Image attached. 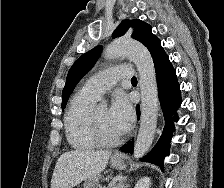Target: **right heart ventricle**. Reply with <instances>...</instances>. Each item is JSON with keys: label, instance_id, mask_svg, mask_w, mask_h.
<instances>
[{"label": "right heart ventricle", "instance_id": "obj_1", "mask_svg": "<svg viewBox=\"0 0 224 188\" xmlns=\"http://www.w3.org/2000/svg\"><path fill=\"white\" fill-rule=\"evenodd\" d=\"M96 99L81 89L74 95L65 113L66 138L76 150H90L97 146L89 128V115Z\"/></svg>", "mask_w": 224, "mask_h": 188}]
</instances>
